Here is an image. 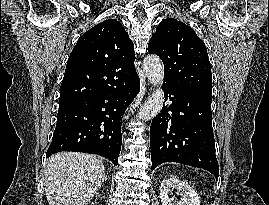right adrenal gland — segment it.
Segmentation results:
<instances>
[{
  "mask_svg": "<svg viewBox=\"0 0 269 205\" xmlns=\"http://www.w3.org/2000/svg\"><path fill=\"white\" fill-rule=\"evenodd\" d=\"M103 180H105V181H106V180H107V176H104Z\"/></svg>",
  "mask_w": 269,
  "mask_h": 205,
  "instance_id": "1",
  "label": "right adrenal gland"
}]
</instances>
